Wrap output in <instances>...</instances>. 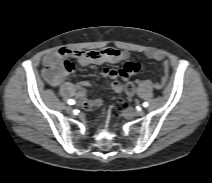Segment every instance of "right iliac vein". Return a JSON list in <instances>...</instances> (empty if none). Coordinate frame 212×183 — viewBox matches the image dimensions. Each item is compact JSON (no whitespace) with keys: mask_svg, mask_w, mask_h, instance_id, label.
<instances>
[{"mask_svg":"<svg viewBox=\"0 0 212 183\" xmlns=\"http://www.w3.org/2000/svg\"><path fill=\"white\" fill-rule=\"evenodd\" d=\"M68 113L72 112V109L70 107L67 108Z\"/></svg>","mask_w":212,"mask_h":183,"instance_id":"63e3f726","label":"right iliac vein"}]
</instances>
